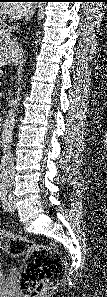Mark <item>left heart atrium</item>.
Masks as SVG:
<instances>
[{"mask_svg": "<svg viewBox=\"0 0 107 297\" xmlns=\"http://www.w3.org/2000/svg\"><path fill=\"white\" fill-rule=\"evenodd\" d=\"M27 10L28 5L25 3H9L6 5V11L12 17L22 16Z\"/></svg>", "mask_w": 107, "mask_h": 297, "instance_id": "obj_1", "label": "left heart atrium"}]
</instances>
